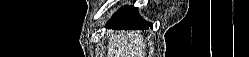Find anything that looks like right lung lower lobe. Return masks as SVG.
Segmentation results:
<instances>
[{
	"mask_svg": "<svg viewBox=\"0 0 249 57\" xmlns=\"http://www.w3.org/2000/svg\"><path fill=\"white\" fill-rule=\"evenodd\" d=\"M106 26L117 29L144 30L152 27V24L139 16L137 8L124 6L112 16Z\"/></svg>",
	"mask_w": 249,
	"mask_h": 57,
	"instance_id": "right-lung-lower-lobe-1",
	"label": "right lung lower lobe"
}]
</instances>
